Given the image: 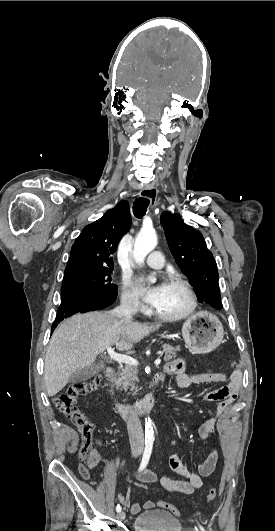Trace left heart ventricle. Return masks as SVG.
I'll return each instance as SVG.
<instances>
[{
    "label": "left heart ventricle",
    "instance_id": "b2bd125f",
    "mask_svg": "<svg viewBox=\"0 0 275 531\" xmlns=\"http://www.w3.org/2000/svg\"><path fill=\"white\" fill-rule=\"evenodd\" d=\"M189 299L185 289L174 282L164 283L161 295L154 310L164 315H176L185 311L188 307Z\"/></svg>",
    "mask_w": 275,
    "mask_h": 531
}]
</instances>
